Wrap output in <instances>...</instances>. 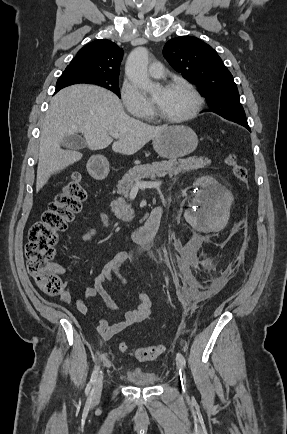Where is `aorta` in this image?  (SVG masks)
<instances>
[{
  "label": "aorta",
  "instance_id": "aorta-1",
  "mask_svg": "<svg viewBox=\"0 0 287 434\" xmlns=\"http://www.w3.org/2000/svg\"><path fill=\"white\" fill-rule=\"evenodd\" d=\"M149 52L145 47L134 49L128 56L125 72L128 78L143 91H152L154 84L148 77Z\"/></svg>",
  "mask_w": 287,
  "mask_h": 434
}]
</instances>
